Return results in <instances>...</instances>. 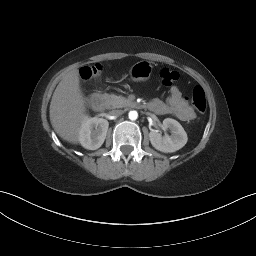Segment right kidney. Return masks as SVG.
Here are the masks:
<instances>
[{"label": "right kidney", "mask_w": 256, "mask_h": 256, "mask_svg": "<svg viewBox=\"0 0 256 256\" xmlns=\"http://www.w3.org/2000/svg\"><path fill=\"white\" fill-rule=\"evenodd\" d=\"M108 127L109 122L106 119L85 116L79 132L81 145L89 150L100 148L105 141Z\"/></svg>", "instance_id": "1"}]
</instances>
